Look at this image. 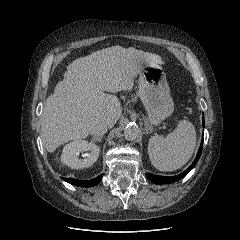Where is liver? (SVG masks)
I'll use <instances>...</instances> for the list:
<instances>
[{
	"mask_svg": "<svg viewBox=\"0 0 240 240\" xmlns=\"http://www.w3.org/2000/svg\"><path fill=\"white\" fill-rule=\"evenodd\" d=\"M144 62L162 64L158 55L112 46L74 60L42 113V142L48 152L70 140L87 138L101 121L114 126L120 101L106 92L130 91Z\"/></svg>",
	"mask_w": 240,
	"mask_h": 240,
	"instance_id": "liver-1",
	"label": "liver"
}]
</instances>
